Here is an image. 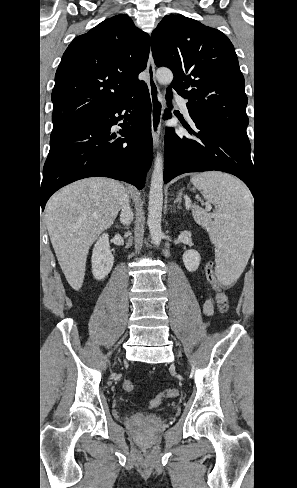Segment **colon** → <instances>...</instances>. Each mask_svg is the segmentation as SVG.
<instances>
[{"instance_id": "colon-1", "label": "colon", "mask_w": 297, "mask_h": 488, "mask_svg": "<svg viewBox=\"0 0 297 488\" xmlns=\"http://www.w3.org/2000/svg\"><path fill=\"white\" fill-rule=\"evenodd\" d=\"M205 275L207 280L210 282L213 291L215 292V300L218 308L221 311H226L228 308V297L226 293L222 290L220 284L218 283L215 275V265L212 261H208L205 265ZM123 389L126 392L134 391V384L127 380L123 383ZM179 394L177 388H168L163 393L159 394L149 402L150 408L158 407L165 398H174Z\"/></svg>"}]
</instances>
